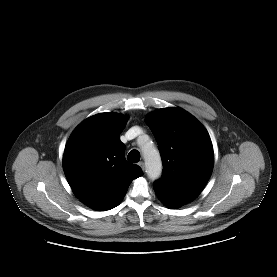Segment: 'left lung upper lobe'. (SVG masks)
<instances>
[{"label": "left lung upper lobe", "mask_w": 277, "mask_h": 277, "mask_svg": "<svg viewBox=\"0 0 277 277\" xmlns=\"http://www.w3.org/2000/svg\"><path fill=\"white\" fill-rule=\"evenodd\" d=\"M146 123L159 145L162 177L155 182L168 190L198 196L214 164L211 139L202 124L181 108L159 109Z\"/></svg>", "instance_id": "5c2ea615"}]
</instances>
